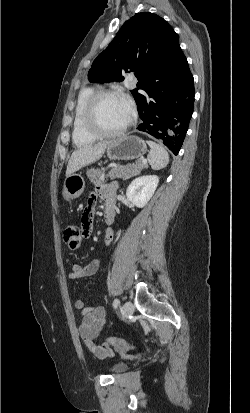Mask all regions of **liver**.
Returning a JSON list of instances; mask_svg holds the SVG:
<instances>
[{
  "instance_id": "1",
  "label": "liver",
  "mask_w": 250,
  "mask_h": 413,
  "mask_svg": "<svg viewBox=\"0 0 250 413\" xmlns=\"http://www.w3.org/2000/svg\"><path fill=\"white\" fill-rule=\"evenodd\" d=\"M108 143L103 141L95 145H85L75 150L68 161L66 177L99 160L103 156Z\"/></svg>"
}]
</instances>
